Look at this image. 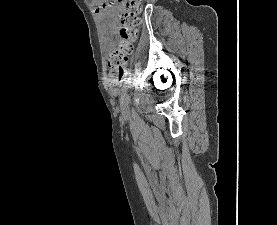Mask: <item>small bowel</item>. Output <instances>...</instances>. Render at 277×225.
<instances>
[{
	"mask_svg": "<svg viewBox=\"0 0 277 225\" xmlns=\"http://www.w3.org/2000/svg\"><path fill=\"white\" fill-rule=\"evenodd\" d=\"M121 8H123V4H118L115 7H110L108 8V10H103L102 6L97 7L100 17L107 20L110 26H113L114 19L117 17L118 10H120Z\"/></svg>",
	"mask_w": 277,
	"mask_h": 225,
	"instance_id": "obj_1",
	"label": "small bowel"
}]
</instances>
